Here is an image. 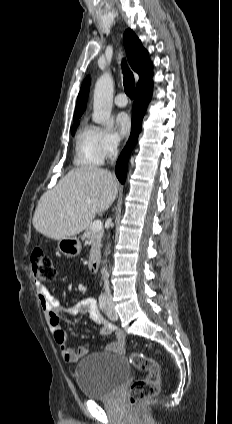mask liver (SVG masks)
Masks as SVG:
<instances>
[{
	"mask_svg": "<svg viewBox=\"0 0 232 424\" xmlns=\"http://www.w3.org/2000/svg\"><path fill=\"white\" fill-rule=\"evenodd\" d=\"M118 193V182L95 166L74 168L40 198L33 226L41 234L61 240L85 230L95 215L107 211Z\"/></svg>",
	"mask_w": 232,
	"mask_h": 424,
	"instance_id": "6515ba94",
	"label": "liver"
}]
</instances>
